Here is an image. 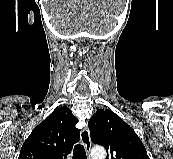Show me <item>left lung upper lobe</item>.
Returning a JSON list of instances; mask_svg holds the SVG:
<instances>
[{
	"label": "left lung upper lobe",
	"instance_id": "obj_1",
	"mask_svg": "<svg viewBox=\"0 0 173 159\" xmlns=\"http://www.w3.org/2000/svg\"><path fill=\"white\" fill-rule=\"evenodd\" d=\"M88 124L91 141L106 148V159H149L135 131L111 110H98Z\"/></svg>",
	"mask_w": 173,
	"mask_h": 159
}]
</instances>
